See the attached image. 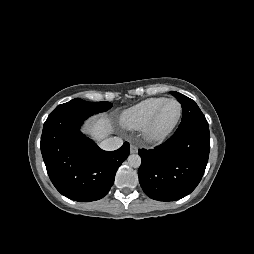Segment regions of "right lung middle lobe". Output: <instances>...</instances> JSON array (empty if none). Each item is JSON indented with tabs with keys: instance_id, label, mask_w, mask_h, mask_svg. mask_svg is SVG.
<instances>
[{
	"instance_id": "1",
	"label": "right lung middle lobe",
	"mask_w": 254,
	"mask_h": 254,
	"mask_svg": "<svg viewBox=\"0 0 254 254\" xmlns=\"http://www.w3.org/2000/svg\"><path fill=\"white\" fill-rule=\"evenodd\" d=\"M75 108L82 111H90L93 113L104 112L112 107L110 102H87L79 98H75L67 103L61 104L56 108Z\"/></svg>"
}]
</instances>
